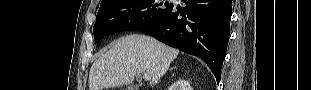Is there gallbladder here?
<instances>
[{
    "instance_id": "gallbladder-1",
    "label": "gallbladder",
    "mask_w": 311,
    "mask_h": 90,
    "mask_svg": "<svg viewBox=\"0 0 311 90\" xmlns=\"http://www.w3.org/2000/svg\"><path fill=\"white\" fill-rule=\"evenodd\" d=\"M128 90H137L138 89V86H135V85H129Z\"/></svg>"
}]
</instances>
